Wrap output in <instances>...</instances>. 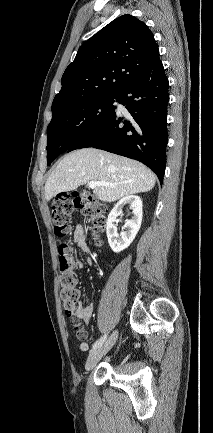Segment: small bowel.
Returning a JSON list of instances; mask_svg holds the SVG:
<instances>
[{"instance_id":"obj_1","label":"small bowel","mask_w":213,"mask_h":433,"mask_svg":"<svg viewBox=\"0 0 213 433\" xmlns=\"http://www.w3.org/2000/svg\"><path fill=\"white\" fill-rule=\"evenodd\" d=\"M73 241L75 242V244L77 245V247L87 253L89 256L86 258V264L87 265H92L94 262V258L92 256V250L89 246V237L86 233L85 228L82 225H77L73 231ZM73 266L76 269H81L83 267L82 262L74 257L72 260ZM94 311V307L92 304L86 305V306H82L80 305L79 307H77L76 311L74 312V317L83 322L84 324H89L91 318H92V314ZM86 336V331L83 328V334L81 336V338H84ZM81 351H87L88 350V344L85 342H82L79 346Z\"/></svg>"}]
</instances>
